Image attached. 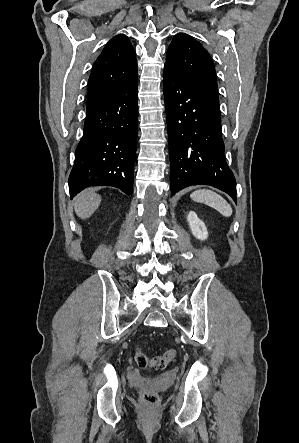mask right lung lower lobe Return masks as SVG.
<instances>
[{
  "label": "right lung lower lobe",
  "mask_w": 299,
  "mask_h": 443,
  "mask_svg": "<svg viewBox=\"0 0 299 443\" xmlns=\"http://www.w3.org/2000/svg\"><path fill=\"white\" fill-rule=\"evenodd\" d=\"M138 78L87 108L83 137L69 176L71 198L88 186L133 192Z\"/></svg>",
  "instance_id": "98d812e1"
}]
</instances>
